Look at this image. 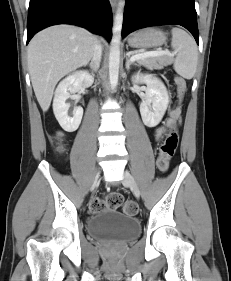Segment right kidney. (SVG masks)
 <instances>
[{
  "label": "right kidney",
  "instance_id": "right-kidney-1",
  "mask_svg": "<svg viewBox=\"0 0 231 281\" xmlns=\"http://www.w3.org/2000/svg\"><path fill=\"white\" fill-rule=\"evenodd\" d=\"M94 78L87 71H76L65 79H63L56 88L53 100V112L59 122L60 126L67 132H73L78 129L82 116L83 108L76 107L72 116L68 115L70 104L66 100L74 94L75 95L82 87H89L93 84Z\"/></svg>",
  "mask_w": 231,
  "mask_h": 281
}]
</instances>
